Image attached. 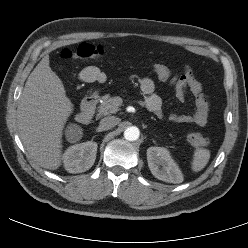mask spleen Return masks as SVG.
Segmentation results:
<instances>
[{
    "label": "spleen",
    "mask_w": 248,
    "mask_h": 248,
    "mask_svg": "<svg viewBox=\"0 0 248 248\" xmlns=\"http://www.w3.org/2000/svg\"><path fill=\"white\" fill-rule=\"evenodd\" d=\"M210 151L207 149H197L193 155L192 170L194 172L201 171L209 162Z\"/></svg>",
    "instance_id": "obj_1"
}]
</instances>
